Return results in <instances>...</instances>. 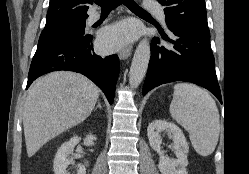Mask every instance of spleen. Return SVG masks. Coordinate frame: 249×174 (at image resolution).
Segmentation results:
<instances>
[{"label":"spleen","instance_id":"1","mask_svg":"<svg viewBox=\"0 0 249 174\" xmlns=\"http://www.w3.org/2000/svg\"><path fill=\"white\" fill-rule=\"evenodd\" d=\"M170 113L188 131L192 146L199 155L208 156L214 152L220 132L219 112L206 90L191 83L176 84Z\"/></svg>","mask_w":249,"mask_h":174}]
</instances>
